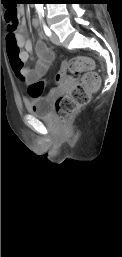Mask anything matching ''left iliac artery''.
Here are the masks:
<instances>
[{"label": "left iliac artery", "instance_id": "obj_1", "mask_svg": "<svg viewBox=\"0 0 122 257\" xmlns=\"http://www.w3.org/2000/svg\"><path fill=\"white\" fill-rule=\"evenodd\" d=\"M43 17H44L43 13H42V14L39 13V18H40L41 20H43ZM43 29H44V32H45V34H46L47 36H50V35H51L50 29L47 27V25H46L44 22H43Z\"/></svg>", "mask_w": 122, "mask_h": 257}]
</instances>
